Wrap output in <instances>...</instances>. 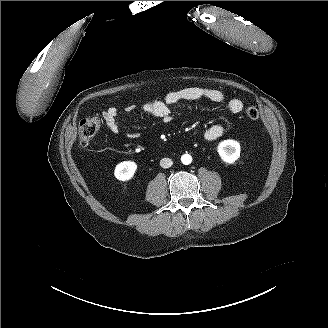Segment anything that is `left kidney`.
I'll return each mask as SVG.
<instances>
[{"label": "left kidney", "mask_w": 328, "mask_h": 328, "mask_svg": "<svg viewBox=\"0 0 328 328\" xmlns=\"http://www.w3.org/2000/svg\"><path fill=\"white\" fill-rule=\"evenodd\" d=\"M217 149L220 157L227 163H234L239 158L240 144L235 140H224Z\"/></svg>", "instance_id": "obj_1"}]
</instances>
